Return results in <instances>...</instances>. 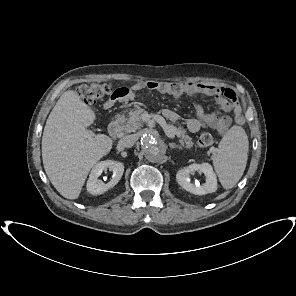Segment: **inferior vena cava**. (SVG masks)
Returning a JSON list of instances; mask_svg holds the SVG:
<instances>
[{
  "mask_svg": "<svg viewBox=\"0 0 296 296\" xmlns=\"http://www.w3.org/2000/svg\"><path fill=\"white\" fill-rule=\"evenodd\" d=\"M135 141L136 139L133 135H126L119 140L118 145L122 148H128L133 146Z\"/></svg>",
  "mask_w": 296,
  "mask_h": 296,
  "instance_id": "obj_1",
  "label": "inferior vena cava"
}]
</instances>
